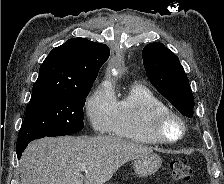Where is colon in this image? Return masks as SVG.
<instances>
[{
  "instance_id": "obj_1",
  "label": "colon",
  "mask_w": 224,
  "mask_h": 184,
  "mask_svg": "<svg viewBox=\"0 0 224 184\" xmlns=\"http://www.w3.org/2000/svg\"><path fill=\"white\" fill-rule=\"evenodd\" d=\"M171 175L174 180L180 183H187L191 179L192 169L190 165L180 161L174 160L170 163Z\"/></svg>"
}]
</instances>
